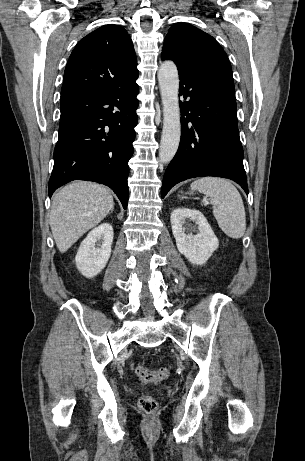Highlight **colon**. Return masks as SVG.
I'll return each mask as SVG.
<instances>
[{"instance_id": "5ec220e1", "label": "colon", "mask_w": 305, "mask_h": 461, "mask_svg": "<svg viewBox=\"0 0 305 461\" xmlns=\"http://www.w3.org/2000/svg\"><path fill=\"white\" fill-rule=\"evenodd\" d=\"M137 377L144 382H154L167 378L170 375L168 366L161 367L156 370H151L143 366L135 368ZM138 407L146 413H154L158 408L156 399L150 395H142L138 400Z\"/></svg>"}]
</instances>
